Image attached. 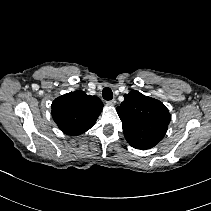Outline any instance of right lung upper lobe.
Segmentation results:
<instances>
[{"instance_id": "1", "label": "right lung upper lobe", "mask_w": 211, "mask_h": 211, "mask_svg": "<svg viewBox=\"0 0 211 211\" xmlns=\"http://www.w3.org/2000/svg\"><path fill=\"white\" fill-rule=\"evenodd\" d=\"M103 106L98 97L77 90L53 101L52 117L65 134L80 135L95 124Z\"/></svg>"}]
</instances>
